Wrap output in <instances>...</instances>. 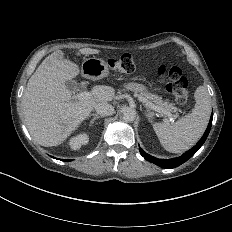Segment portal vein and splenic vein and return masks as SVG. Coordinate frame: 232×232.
I'll list each match as a JSON object with an SVG mask.
<instances>
[{"instance_id": "1", "label": "portal vein and splenic vein", "mask_w": 232, "mask_h": 232, "mask_svg": "<svg viewBox=\"0 0 232 232\" xmlns=\"http://www.w3.org/2000/svg\"><path fill=\"white\" fill-rule=\"evenodd\" d=\"M89 97H91V93L84 91V92L77 93V94L73 95L71 101H76V100H80V99H87ZM139 100L142 103H145L149 108L156 110L157 107L151 101L147 100L146 98L139 97ZM166 114H167V116H171L170 112L166 113ZM170 121L174 122V119L170 118Z\"/></svg>"}]
</instances>
